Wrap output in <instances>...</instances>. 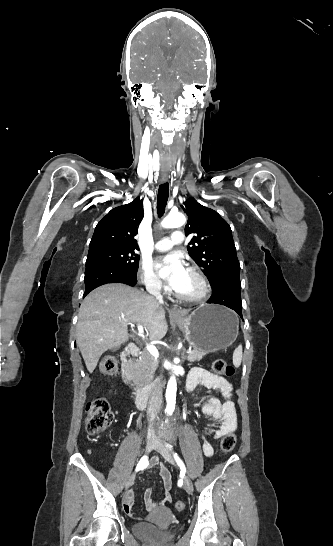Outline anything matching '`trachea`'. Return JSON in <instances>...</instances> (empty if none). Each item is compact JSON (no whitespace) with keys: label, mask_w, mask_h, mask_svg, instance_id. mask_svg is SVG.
<instances>
[{"label":"trachea","mask_w":333,"mask_h":546,"mask_svg":"<svg viewBox=\"0 0 333 546\" xmlns=\"http://www.w3.org/2000/svg\"><path fill=\"white\" fill-rule=\"evenodd\" d=\"M168 195H169L168 183L161 184L159 186L158 199H157V213L159 217H162L165 212Z\"/></svg>","instance_id":"3493384b"}]
</instances>
